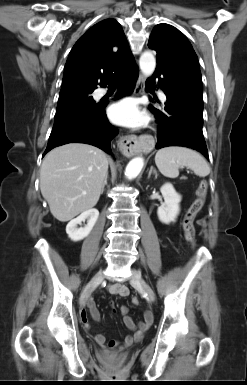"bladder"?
I'll use <instances>...</instances> for the list:
<instances>
[{
	"label": "bladder",
	"instance_id": "1",
	"mask_svg": "<svg viewBox=\"0 0 247 385\" xmlns=\"http://www.w3.org/2000/svg\"><path fill=\"white\" fill-rule=\"evenodd\" d=\"M101 356L103 359H111V360H116V361H122L127 358V354L119 355L118 357H112L104 352H100Z\"/></svg>",
	"mask_w": 247,
	"mask_h": 385
}]
</instances>
